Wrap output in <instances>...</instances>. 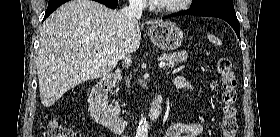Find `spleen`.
I'll list each match as a JSON object with an SVG mask.
<instances>
[{
    "mask_svg": "<svg viewBox=\"0 0 280 137\" xmlns=\"http://www.w3.org/2000/svg\"><path fill=\"white\" fill-rule=\"evenodd\" d=\"M208 39L210 42L214 43L215 45H222V42L219 38H217L216 36L212 35V34H208L207 35Z\"/></svg>",
    "mask_w": 280,
    "mask_h": 137,
    "instance_id": "spleen-1",
    "label": "spleen"
}]
</instances>
